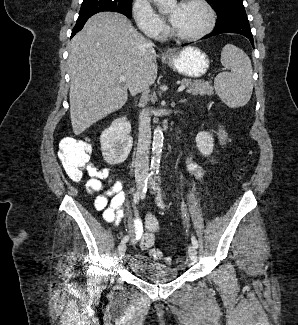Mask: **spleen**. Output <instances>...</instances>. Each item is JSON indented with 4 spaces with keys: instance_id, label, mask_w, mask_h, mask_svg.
Instances as JSON below:
<instances>
[{
    "instance_id": "1",
    "label": "spleen",
    "mask_w": 298,
    "mask_h": 325,
    "mask_svg": "<svg viewBox=\"0 0 298 325\" xmlns=\"http://www.w3.org/2000/svg\"><path fill=\"white\" fill-rule=\"evenodd\" d=\"M221 62L230 72H219L215 76L216 94L231 108L244 106L253 92V68L248 54L234 44H225Z\"/></svg>"
}]
</instances>
